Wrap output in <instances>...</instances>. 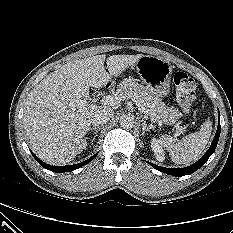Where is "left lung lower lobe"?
Here are the masks:
<instances>
[{
    "label": "left lung lower lobe",
    "mask_w": 233,
    "mask_h": 233,
    "mask_svg": "<svg viewBox=\"0 0 233 233\" xmlns=\"http://www.w3.org/2000/svg\"><path fill=\"white\" fill-rule=\"evenodd\" d=\"M218 115H219V123H218V127H217V131H216V135L212 141V144L210 146V148L208 149V151L202 156V158H200L196 163L185 167V168H180V169H173V168H165V167H160L157 166L153 163L148 162L150 165H152L155 169L167 173L169 175H173V176H185V175H190L193 172H195L196 170H198L200 167H202L204 165V163L209 159V157L214 153L218 140H219V136H220V131H221V126H220V113L218 111Z\"/></svg>",
    "instance_id": "obj_1"
}]
</instances>
